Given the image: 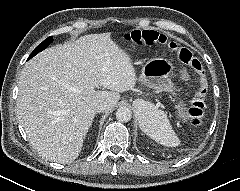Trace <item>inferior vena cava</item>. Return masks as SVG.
Instances as JSON below:
<instances>
[{
  "instance_id": "602c4592",
  "label": "inferior vena cava",
  "mask_w": 240,
  "mask_h": 191,
  "mask_svg": "<svg viewBox=\"0 0 240 191\" xmlns=\"http://www.w3.org/2000/svg\"><path fill=\"white\" fill-rule=\"evenodd\" d=\"M108 109L107 105L105 103H97L94 105V111L96 113L104 112Z\"/></svg>"
}]
</instances>
